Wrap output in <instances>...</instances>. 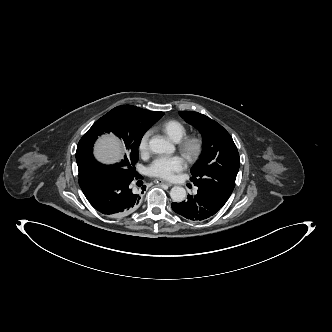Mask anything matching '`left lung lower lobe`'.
Returning <instances> with one entry per match:
<instances>
[{
	"label": "left lung lower lobe",
	"mask_w": 332,
	"mask_h": 332,
	"mask_svg": "<svg viewBox=\"0 0 332 332\" xmlns=\"http://www.w3.org/2000/svg\"><path fill=\"white\" fill-rule=\"evenodd\" d=\"M225 203L222 198L198 188L197 193L188 195L186 201L172 203V209L187 219L202 221L216 214Z\"/></svg>",
	"instance_id": "0a47b994"
}]
</instances>
